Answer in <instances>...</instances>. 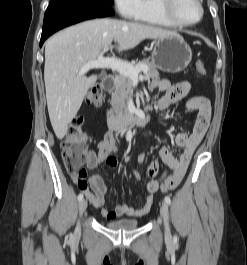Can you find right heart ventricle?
Wrapping results in <instances>:
<instances>
[{
  "label": "right heart ventricle",
  "mask_w": 247,
  "mask_h": 265,
  "mask_svg": "<svg viewBox=\"0 0 247 265\" xmlns=\"http://www.w3.org/2000/svg\"><path fill=\"white\" fill-rule=\"evenodd\" d=\"M159 4V0H141L140 11L135 20L158 26L177 27L164 15Z\"/></svg>",
  "instance_id": "1"
}]
</instances>
